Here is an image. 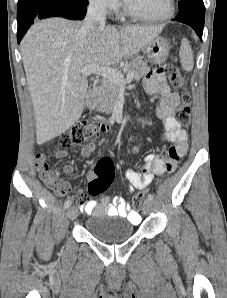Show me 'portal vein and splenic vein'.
Segmentation results:
<instances>
[{"label": "portal vein and splenic vein", "mask_w": 227, "mask_h": 298, "mask_svg": "<svg viewBox=\"0 0 227 298\" xmlns=\"http://www.w3.org/2000/svg\"><path fill=\"white\" fill-rule=\"evenodd\" d=\"M79 73L82 77H87L91 74H95L97 76L103 77L104 79H108L112 82H115L119 85H125L127 83H130L134 78L133 73L127 74L126 78H124V75L121 71L110 67L100 66L99 64L85 66L82 69H80Z\"/></svg>", "instance_id": "1"}]
</instances>
